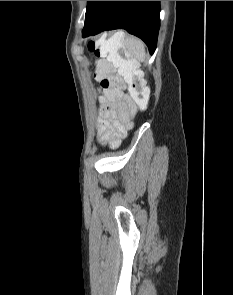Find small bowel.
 Instances as JSON below:
<instances>
[{
  "instance_id": "1",
  "label": "small bowel",
  "mask_w": 233,
  "mask_h": 295,
  "mask_svg": "<svg viewBox=\"0 0 233 295\" xmlns=\"http://www.w3.org/2000/svg\"><path fill=\"white\" fill-rule=\"evenodd\" d=\"M100 103L97 122L98 139L101 144L115 147L132 127L134 102L123 90L120 93H104Z\"/></svg>"
}]
</instances>
